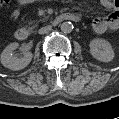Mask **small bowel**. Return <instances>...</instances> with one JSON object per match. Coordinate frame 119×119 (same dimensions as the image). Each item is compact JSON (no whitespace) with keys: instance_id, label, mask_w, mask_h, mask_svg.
<instances>
[{"instance_id":"obj_1","label":"small bowel","mask_w":119,"mask_h":119,"mask_svg":"<svg viewBox=\"0 0 119 119\" xmlns=\"http://www.w3.org/2000/svg\"><path fill=\"white\" fill-rule=\"evenodd\" d=\"M26 0L19 2V6H25ZM101 5L110 13L104 18H96L92 21L91 27L94 33L103 34L107 31H115L119 27V0H101ZM20 9L16 8L12 11L11 17L17 19Z\"/></svg>"}]
</instances>
